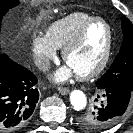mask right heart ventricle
Returning <instances> with one entry per match:
<instances>
[{
    "instance_id": "1",
    "label": "right heart ventricle",
    "mask_w": 133,
    "mask_h": 133,
    "mask_svg": "<svg viewBox=\"0 0 133 133\" xmlns=\"http://www.w3.org/2000/svg\"><path fill=\"white\" fill-rule=\"evenodd\" d=\"M95 16L86 12H72L49 25L46 38L55 49H63L78 30Z\"/></svg>"
}]
</instances>
